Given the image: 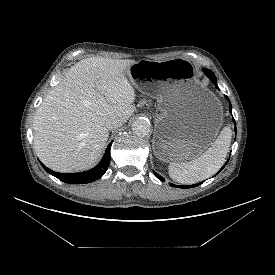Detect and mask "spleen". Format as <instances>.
<instances>
[{
    "label": "spleen",
    "mask_w": 275,
    "mask_h": 275,
    "mask_svg": "<svg viewBox=\"0 0 275 275\" xmlns=\"http://www.w3.org/2000/svg\"><path fill=\"white\" fill-rule=\"evenodd\" d=\"M232 131L223 128L211 147L190 162H171L168 166L172 180L182 184H193L215 174L225 161L231 143Z\"/></svg>",
    "instance_id": "3e777b00"
}]
</instances>
